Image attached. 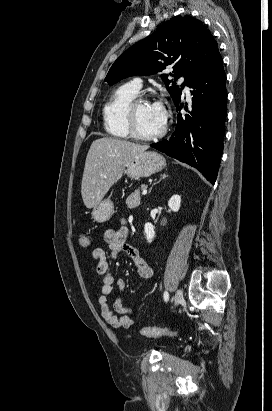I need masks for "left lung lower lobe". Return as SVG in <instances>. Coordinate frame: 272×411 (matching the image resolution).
Segmentation results:
<instances>
[{"instance_id": "0a47b994", "label": "left lung lower lobe", "mask_w": 272, "mask_h": 411, "mask_svg": "<svg viewBox=\"0 0 272 411\" xmlns=\"http://www.w3.org/2000/svg\"><path fill=\"white\" fill-rule=\"evenodd\" d=\"M192 107L177 116L176 129L168 140L150 146L198 169L215 183L223 152L226 119V74L219 53L198 77L188 85ZM176 110L183 107L180 100Z\"/></svg>"}]
</instances>
